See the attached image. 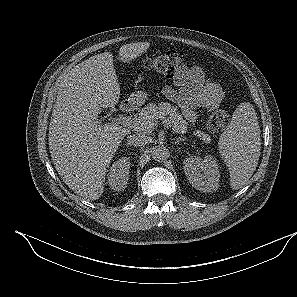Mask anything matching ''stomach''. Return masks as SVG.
Returning a JSON list of instances; mask_svg holds the SVG:
<instances>
[{
  "instance_id": "stomach-1",
  "label": "stomach",
  "mask_w": 297,
  "mask_h": 297,
  "mask_svg": "<svg viewBox=\"0 0 297 297\" xmlns=\"http://www.w3.org/2000/svg\"><path fill=\"white\" fill-rule=\"evenodd\" d=\"M147 99V94L146 92L143 91H137L133 94H131L129 100L132 101L133 103L137 104V105H141L145 102V100Z\"/></svg>"
}]
</instances>
